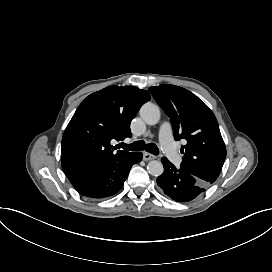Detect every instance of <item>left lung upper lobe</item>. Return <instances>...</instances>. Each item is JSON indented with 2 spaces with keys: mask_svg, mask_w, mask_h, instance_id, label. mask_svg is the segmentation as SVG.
<instances>
[{
  "mask_svg": "<svg viewBox=\"0 0 272 272\" xmlns=\"http://www.w3.org/2000/svg\"><path fill=\"white\" fill-rule=\"evenodd\" d=\"M158 104L170 117L175 140L185 139L180 168L206 184L219 176L226 148L213 112L193 93L175 85L150 87Z\"/></svg>",
  "mask_w": 272,
  "mask_h": 272,
  "instance_id": "5c2ea615",
  "label": "left lung upper lobe"
}]
</instances>
